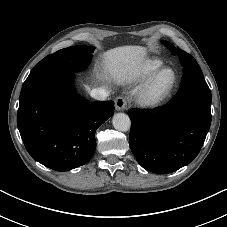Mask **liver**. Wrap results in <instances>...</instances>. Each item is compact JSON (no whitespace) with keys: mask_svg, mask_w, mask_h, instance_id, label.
Segmentation results:
<instances>
[{"mask_svg":"<svg viewBox=\"0 0 227 227\" xmlns=\"http://www.w3.org/2000/svg\"><path fill=\"white\" fill-rule=\"evenodd\" d=\"M147 49L143 46L129 45L112 48L103 53L102 78L110 76L117 82L124 81L130 73L141 67Z\"/></svg>","mask_w":227,"mask_h":227,"instance_id":"1","label":"liver"}]
</instances>
